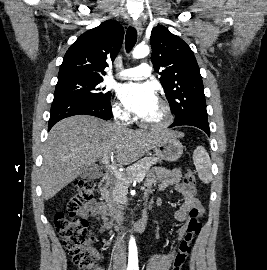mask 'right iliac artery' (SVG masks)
Masks as SVG:
<instances>
[{
  "label": "right iliac artery",
  "instance_id": "1",
  "mask_svg": "<svg viewBox=\"0 0 267 270\" xmlns=\"http://www.w3.org/2000/svg\"><path fill=\"white\" fill-rule=\"evenodd\" d=\"M127 270H133V267L132 266H128L127 267Z\"/></svg>",
  "mask_w": 267,
  "mask_h": 270
}]
</instances>
